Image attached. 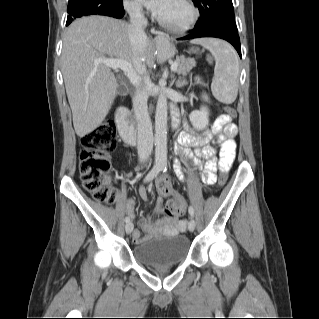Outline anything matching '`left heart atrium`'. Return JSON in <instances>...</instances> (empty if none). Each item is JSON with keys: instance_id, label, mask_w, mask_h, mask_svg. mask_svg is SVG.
<instances>
[{"instance_id": "39dd6f15", "label": "left heart atrium", "mask_w": 319, "mask_h": 319, "mask_svg": "<svg viewBox=\"0 0 319 319\" xmlns=\"http://www.w3.org/2000/svg\"><path fill=\"white\" fill-rule=\"evenodd\" d=\"M140 2L155 14L160 15L165 10L169 0H140Z\"/></svg>"}]
</instances>
